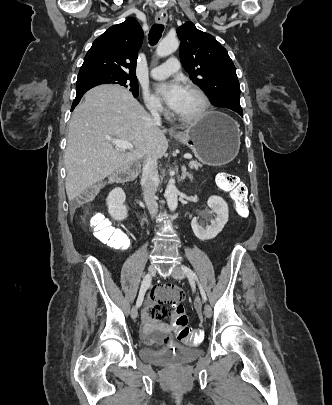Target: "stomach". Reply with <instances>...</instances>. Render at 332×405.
<instances>
[{"mask_svg": "<svg viewBox=\"0 0 332 405\" xmlns=\"http://www.w3.org/2000/svg\"><path fill=\"white\" fill-rule=\"evenodd\" d=\"M175 139L188 146L199 161L212 166L231 162L241 144L238 124L220 112H207Z\"/></svg>", "mask_w": 332, "mask_h": 405, "instance_id": "stomach-1", "label": "stomach"}]
</instances>
